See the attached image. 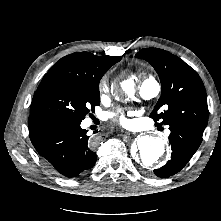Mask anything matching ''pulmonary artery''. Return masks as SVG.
<instances>
[{"mask_svg": "<svg viewBox=\"0 0 221 221\" xmlns=\"http://www.w3.org/2000/svg\"><path fill=\"white\" fill-rule=\"evenodd\" d=\"M159 92L160 84L153 77H148L140 87V94L146 100H150L156 97ZM166 133L169 134L170 131L167 130Z\"/></svg>", "mask_w": 221, "mask_h": 221, "instance_id": "pulmonary-artery-1", "label": "pulmonary artery"}]
</instances>
